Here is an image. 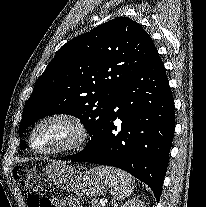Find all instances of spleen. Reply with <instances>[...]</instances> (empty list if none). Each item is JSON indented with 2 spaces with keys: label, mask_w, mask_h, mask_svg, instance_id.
<instances>
[{
  "label": "spleen",
  "mask_w": 206,
  "mask_h": 207,
  "mask_svg": "<svg viewBox=\"0 0 206 207\" xmlns=\"http://www.w3.org/2000/svg\"><path fill=\"white\" fill-rule=\"evenodd\" d=\"M92 171L109 186L116 200H124L132 194L135 180L127 172L103 166L94 167Z\"/></svg>",
  "instance_id": "3e777b00"
}]
</instances>
